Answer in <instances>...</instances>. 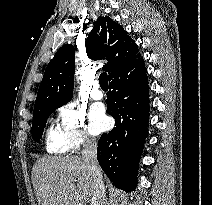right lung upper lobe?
I'll return each mask as SVG.
<instances>
[{"label":"right lung upper lobe","instance_id":"cb5924a9","mask_svg":"<svg viewBox=\"0 0 212 205\" xmlns=\"http://www.w3.org/2000/svg\"><path fill=\"white\" fill-rule=\"evenodd\" d=\"M90 59H106L103 70L109 77L140 57L131 36L110 17H99L86 40ZM75 50L71 44L63 45L47 65L40 84L34 109L45 105H64L73 94Z\"/></svg>","mask_w":212,"mask_h":205}]
</instances>
